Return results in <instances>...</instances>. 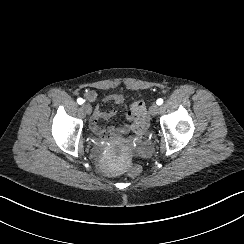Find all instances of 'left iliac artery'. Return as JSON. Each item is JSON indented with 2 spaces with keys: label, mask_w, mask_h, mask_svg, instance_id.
Here are the masks:
<instances>
[{
  "label": "left iliac artery",
  "mask_w": 244,
  "mask_h": 244,
  "mask_svg": "<svg viewBox=\"0 0 244 244\" xmlns=\"http://www.w3.org/2000/svg\"><path fill=\"white\" fill-rule=\"evenodd\" d=\"M157 105H161L163 103V99L159 98L157 101H156Z\"/></svg>",
  "instance_id": "1"
}]
</instances>
